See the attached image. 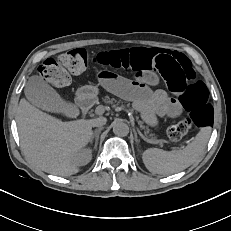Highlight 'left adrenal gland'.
<instances>
[{"label": "left adrenal gland", "instance_id": "1", "mask_svg": "<svg viewBox=\"0 0 231 231\" xmlns=\"http://www.w3.org/2000/svg\"><path fill=\"white\" fill-rule=\"evenodd\" d=\"M135 140H136L137 143H139V140L137 138V134L136 133H135Z\"/></svg>", "mask_w": 231, "mask_h": 231}]
</instances>
